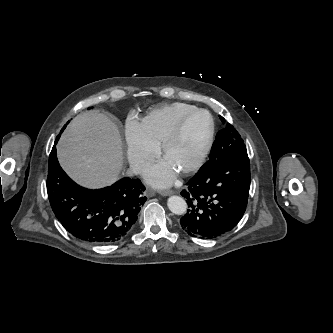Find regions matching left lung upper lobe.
<instances>
[{
  "label": "left lung upper lobe",
  "instance_id": "left-lung-upper-lobe-1",
  "mask_svg": "<svg viewBox=\"0 0 333 333\" xmlns=\"http://www.w3.org/2000/svg\"><path fill=\"white\" fill-rule=\"evenodd\" d=\"M221 121L225 120L220 116ZM224 129L229 130V135L226 139L215 140L209 155L210 159L225 160L231 159L238 154L245 153L246 147L244 141L239 133L233 128L231 124H227Z\"/></svg>",
  "mask_w": 333,
  "mask_h": 333
}]
</instances>
